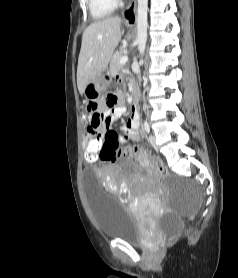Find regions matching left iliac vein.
Returning <instances> with one entry per match:
<instances>
[{
  "label": "left iliac vein",
  "instance_id": "1",
  "mask_svg": "<svg viewBox=\"0 0 238 278\" xmlns=\"http://www.w3.org/2000/svg\"><path fill=\"white\" fill-rule=\"evenodd\" d=\"M149 142L150 144L152 145L153 148L157 149V144H156V139H155V136L154 135H150L149 136Z\"/></svg>",
  "mask_w": 238,
  "mask_h": 278
}]
</instances>
